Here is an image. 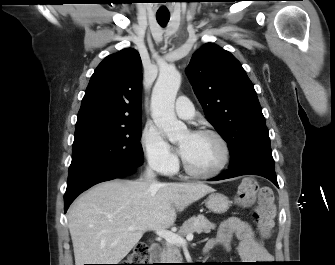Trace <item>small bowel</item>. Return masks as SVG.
<instances>
[{"label": "small bowel", "instance_id": "obj_1", "mask_svg": "<svg viewBox=\"0 0 335 265\" xmlns=\"http://www.w3.org/2000/svg\"><path fill=\"white\" fill-rule=\"evenodd\" d=\"M234 238L238 241L236 251L243 261L260 263L271 260L272 256L257 238L252 226L235 217L228 218L221 223L216 238L210 240L205 249L210 250L220 246L229 251Z\"/></svg>", "mask_w": 335, "mask_h": 265}]
</instances>
